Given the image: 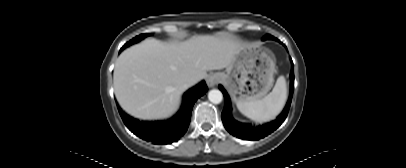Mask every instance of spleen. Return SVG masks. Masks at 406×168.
<instances>
[{
  "mask_svg": "<svg viewBox=\"0 0 406 168\" xmlns=\"http://www.w3.org/2000/svg\"><path fill=\"white\" fill-rule=\"evenodd\" d=\"M287 99V88L284 76H280L273 90L263 99L238 103L239 111L256 122H267L274 119L283 109Z\"/></svg>",
  "mask_w": 406,
  "mask_h": 168,
  "instance_id": "spleen-1",
  "label": "spleen"
}]
</instances>
